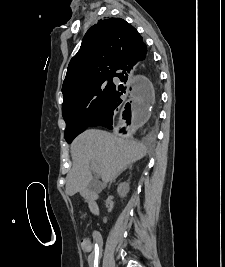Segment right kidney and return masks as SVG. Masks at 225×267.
Listing matches in <instances>:
<instances>
[{
  "instance_id": "1",
  "label": "right kidney",
  "mask_w": 225,
  "mask_h": 267,
  "mask_svg": "<svg viewBox=\"0 0 225 267\" xmlns=\"http://www.w3.org/2000/svg\"><path fill=\"white\" fill-rule=\"evenodd\" d=\"M129 192V182L120 183L117 187V193L121 198H124Z\"/></svg>"
}]
</instances>
